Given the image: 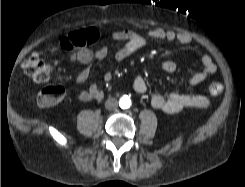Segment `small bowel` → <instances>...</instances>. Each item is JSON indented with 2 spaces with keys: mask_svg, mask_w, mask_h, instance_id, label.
<instances>
[{
  "mask_svg": "<svg viewBox=\"0 0 245 187\" xmlns=\"http://www.w3.org/2000/svg\"><path fill=\"white\" fill-rule=\"evenodd\" d=\"M84 31L90 44L98 42L101 39V33L96 28H89ZM112 38L124 42L123 46L114 54V59L117 62H122L141 50L147 44L148 39L178 42L181 44L191 43V37L189 35L162 28L152 29L148 31L146 36L133 30H120L113 32ZM108 55L109 47L107 44H102L96 51H91L89 49L74 51L71 54V60L85 65V68L74 78V85L84 83L90 75L92 65L95 62L106 61ZM201 65L202 69L200 71H192L190 73L187 79L188 86L197 85L217 71L216 64L209 55L202 56ZM161 69L166 73H174L177 66L173 61L167 60L161 64ZM111 76V70L107 68L104 75L105 80H110ZM133 89L138 94H145L147 92L145 79L141 76L135 77L133 80ZM101 97L102 91L95 84L78 93V98L82 102H91L100 99ZM150 103L155 109L172 114L180 112L185 108L205 107L209 104V100L202 95L178 94L174 92L168 93L167 95L151 93Z\"/></svg>",
  "mask_w": 245,
  "mask_h": 187,
  "instance_id": "small-bowel-1",
  "label": "small bowel"
}]
</instances>
